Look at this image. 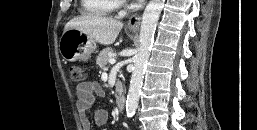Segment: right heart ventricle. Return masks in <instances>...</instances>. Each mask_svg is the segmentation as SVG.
I'll use <instances>...</instances> for the list:
<instances>
[{
	"label": "right heart ventricle",
	"instance_id": "obj_1",
	"mask_svg": "<svg viewBox=\"0 0 257 130\" xmlns=\"http://www.w3.org/2000/svg\"><path fill=\"white\" fill-rule=\"evenodd\" d=\"M119 5L117 0H81L84 13L97 16L111 14Z\"/></svg>",
	"mask_w": 257,
	"mask_h": 130
}]
</instances>
